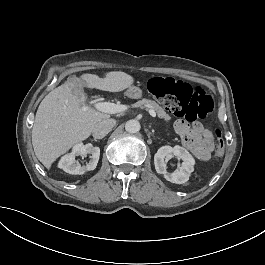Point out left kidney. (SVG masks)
Here are the masks:
<instances>
[{
    "label": "left kidney",
    "instance_id": "obj_1",
    "mask_svg": "<svg viewBox=\"0 0 265 265\" xmlns=\"http://www.w3.org/2000/svg\"><path fill=\"white\" fill-rule=\"evenodd\" d=\"M175 155L178 160H184L183 166L173 173L167 171L164 159H170ZM194 160L189 152L180 146L171 147L169 145L160 147L154 154V166L157 173L172 183L182 184L189 180V175L193 172Z\"/></svg>",
    "mask_w": 265,
    "mask_h": 265
}]
</instances>
